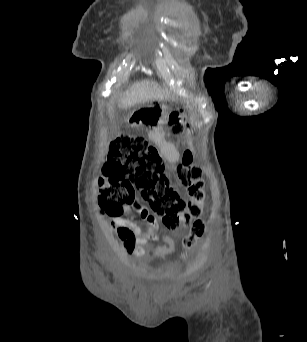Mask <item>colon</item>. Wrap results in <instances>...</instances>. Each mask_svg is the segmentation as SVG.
<instances>
[{
    "label": "colon",
    "mask_w": 307,
    "mask_h": 342,
    "mask_svg": "<svg viewBox=\"0 0 307 342\" xmlns=\"http://www.w3.org/2000/svg\"><path fill=\"white\" fill-rule=\"evenodd\" d=\"M184 114L183 110H174L168 115L171 133L179 137L181 146L185 144L182 135L188 128ZM181 156L176 179L185 190L187 199L180 196L165 175L161 157L154 145L138 135L121 134L116 137L109 148L102 175L98 177L102 211L109 215L123 213L124 191L128 188L134 192L137 190L140 200L147 203L152 214L167 229H176L180 224L190 229L182 245L187 250L192 249L205 229V221L199 218L205 184L201 179L200 167L192 162L194 153L183 151ZM164 240V243L158 244L156 253L175 254L176 239L165 235Z\"/></svg>",
    "instance_id": "1"
}]
</instances>
